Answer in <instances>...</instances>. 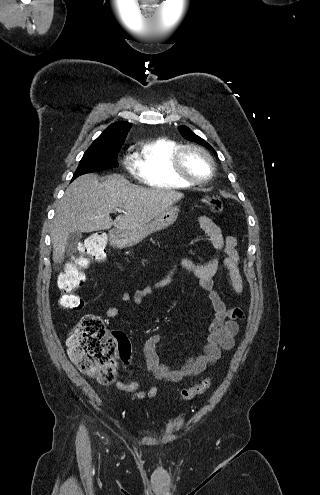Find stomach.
<instances>
[{
    "instance_id": "1",
    "label": "stomach",
    "mask_w": 320,
    "mask_h": 495,
    "mask_svg": "<svg viewBox=\"0 0 320 495\" xmlns=\"http://www.w3.org/2000/svg\"><path fill=\"white\" fill-rule=\"evenodd\" d=\"M179 214V208L170 206L149 223L131 230L110 232V242L118 248H126L141 242L147 236L164 230L174 224Z\"/></svg>"
}]
</instances>
